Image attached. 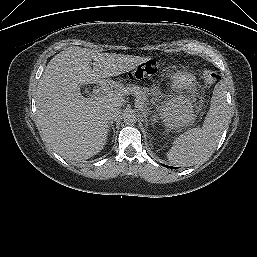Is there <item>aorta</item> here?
I'll list each match as a JSON object with an SVG mask.
<instances>
[{"mask_svg": "<svg viewBox=\"0 0 257 257\" xmlns=\"http://www.w3.org/2000/svg\"><path fill=\"white\" fill-rule=\"evenodd\" d=\"M123 121L126 125H133L137 121V116L133 110H127L123 113Z\"/></svg>", "mask_w": 257, "mask_h": 257, "instance_id": "762f6f07", "label": "aorta"}]
</instances>
